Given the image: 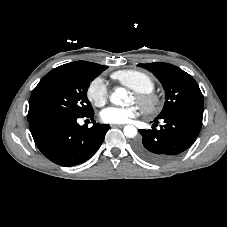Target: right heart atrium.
Here are the masks:
<instances>
[{"label": "right heart atrium", "instance_id": "d8ad5b80", "mask_svg": "<svg viewBox=\"0 0 227 227\" xmlns=\"http://www.w3.org/2000/svg\"><path fill=\"white\" fill-rule=\"evenodd\" d=\"M87 98L89 101L98 107L106 104L109 98V90L105 80L102 77H96L88 85Z\"/></svg>", "mask_w": 227, "mask_h": 227}]
</instances>
